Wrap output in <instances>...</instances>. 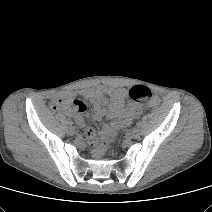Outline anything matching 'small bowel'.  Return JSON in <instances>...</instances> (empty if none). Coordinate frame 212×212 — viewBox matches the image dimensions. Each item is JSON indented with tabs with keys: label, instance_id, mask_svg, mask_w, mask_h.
<instances>
[{
	"label": "small bowel",
	"instance_id": "1",
	"mask_svg": "<svg viewBox=\"0 0 212 212\" xmlns=\"http://www.w3.org/2000/svg\"><path fill=\"white\" fill-rule=\"evenodd\" d=\"M82 95L94 105L97 120H111L110 123L103 126L100 133L102 137H108L120 128L130 125L144 110L141 104L129 103L126 105V93L122 89L98 86L84 90ZM79 123L84 127L87 140L95 145L98 138L94 129L85 126L82 121Z\"/></svg>",
	"mask_w": 212,
	"mask_h": 212
}]
</instances>
